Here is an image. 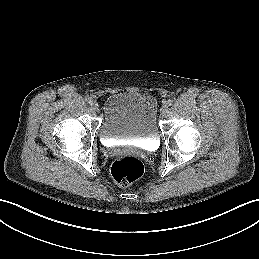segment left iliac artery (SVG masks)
Masks as SVG:
<instances>
[{
	"label": "left iliac artery",
	"mask_w": 259,
	"mask_h": 259,
	"mask_svg": "<svg viewBox=\"0 0 259 259\" xmlns=\"http://www.w3.org/2000/svg\"><path fill=\"white\" fill-rule=\"evenodd\" d=\"M166 104H167L168 106H171V105L173 104V100H172V99H169V100L166 102Z\"/></svg>",
	"instance_id": "obj_1"
}]
</instances>
